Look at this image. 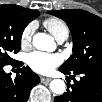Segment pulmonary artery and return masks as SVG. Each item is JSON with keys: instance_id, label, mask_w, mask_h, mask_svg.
Instances as JSON below:
<instances>
[{"instance_id": "1", "label": "pulmonary artery", "mask_w": 102, "mask_h": 102, "mask_svg": "<svg viewBox=\"0 0 102 102\" xmlns=\"http://www.w3.org/2000/svg\"><path fill=\"white\" fill-rule=\"evenodd\" d=\"M65 40H66V38H60V39L58 40V42H59V43H63Z\"/></svg>"}]
</instances>
